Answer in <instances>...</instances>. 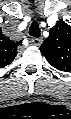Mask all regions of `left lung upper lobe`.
Wrapping results in <instances>:
<instances>
[{
	"mask_svg": "<svg viewBox=\"0 0 71 119\" xmlns=\"http://www.w3.org/2000/svg\"><path fill=\"white\" fill-rule=\"evenodd\" d=\"M41 53L57 70L71 71V26L59 20L40 47Z\"/></svg>",
	"mask_w": 71,
	"mask_h": 119,
	"instance_id": "1",
	"label": "left lung upper lobe"
}]
</instances>
